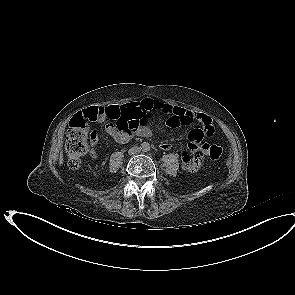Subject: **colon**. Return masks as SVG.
<instances>
[{"mask_svg": "<svg viewBox=\"0 0 295 295\" xmlns=\"http://www.w3.org/2000/svg\"><path fill=\"white\" fill-rule=\"evenodd\" d=\"M108 119L115 122L120 129H133L138 126L137 121H132L123 110H115L107 112ZM89 122L83 116H76L70 123L65 140V151L67 156L68 166L72 169H77L81 165L82 157L86 151L87 141L93 130L90 129ZM222 156V149L218 145L209 147V157L211 160L217 161Z\"/></svg>", "mask_w": 295, "mask_h": 295, "instance_id": "5ec220e1", "label": "colon"}]
</instances>
